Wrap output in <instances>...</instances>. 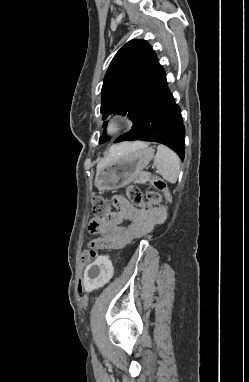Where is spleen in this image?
I'll return each mask as SVG.
<instances>
[{
	"label": "spleen",
	"mask_w": 249,
	"mask_h": 382,
	"mask_svg": "<svg viewBox=\"0 0 249 382\" xmlns=\"http://www.w3.org/2000/svg\"><path fill=\"white\" fill-rule=\"evenodd\" d=\"M154 165L166 181L176 183L180 172V159L174 151L164 145H158Z\"/></svg>",
	"instance_id": "spleen-1"
}]
</instances>
